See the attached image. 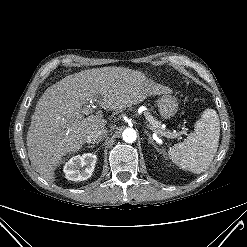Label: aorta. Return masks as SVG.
Instances as JSON below:
<instances>
[{
    "mask_svg": "<svg viewBox=\"0 0 247 247\" xmlns=\"http://www.w3.org/2000/svg\"><path fill=\"white\" fill-rule=\"evenodd\" d=\"M136 137V131L132 128H126L122 133V138L126 143H133Z\"/></svg>",
    "mask_w": 247,
    "mask_h": 247,
    "instance_id": "762f6f07",
    "label": "aorta"
}]
</instances>
